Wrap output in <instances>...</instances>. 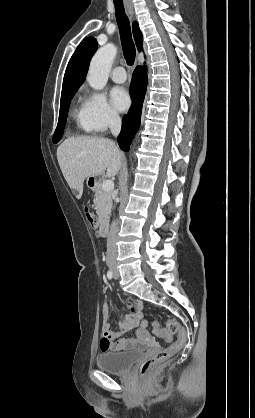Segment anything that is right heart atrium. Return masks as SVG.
<instances>
[{
  "instance_id": "right-heart-atrium-1",
  "label": "right heart atrium",
  "mask_w": 255,
  "mask_h": 418,
  "mask_svg": "<svg viewBox=\"0 0 255 418\" xmlns=\"http://www.w3.org/2000/svg\"><path fill=\"white\" fill-rule=\"evenodd\" d=\"M82 119L86 130L102 132L119 121V115L101 92L87 91L82 102Z\"/></svg>"
}]
</instances>
